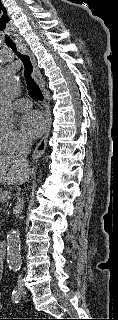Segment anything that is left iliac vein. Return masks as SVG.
I'll return each mask as SVG.
<instances>
[{
	"instance_id": "4c4485c4",
	"label": "left iliac vein",
	"mask_w": 118,
	"mask_h": 320,
	"mask_svg": "<svg viewBox=\"0 0 118 320\" xmlns=\"http://www.w3.org/2000/svg\"><path fill=\"white\" fill-rule=\"evenodd\" d=\"M18 286H19L20 294L22 296H24L26 294V291H25V288L23 286V283L20 282Z\"/></svg>"
}]
</instances>
